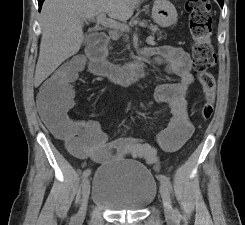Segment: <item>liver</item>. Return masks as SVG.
<instances>
[{"mask_svg":"<svg viewBox=\"0 0 245 225\" xmlns=\"http://www.w3.org/2000/svg\"><path fill=\"white\" fill-rule=\"evenodd\" d=\"M143 0H45L41 10L42 37L35 70L40 85L65 60L75 55L83 42V22L106 13L127 21Z\"/></svg>","mask_w":245,"mask_h":225,"instance_id":"obj_1","label":"liver"}]
</instances>
